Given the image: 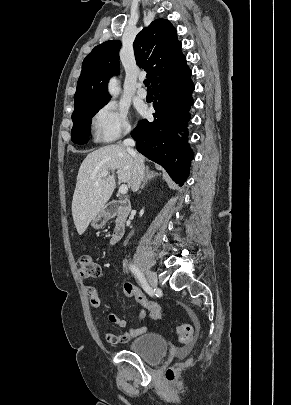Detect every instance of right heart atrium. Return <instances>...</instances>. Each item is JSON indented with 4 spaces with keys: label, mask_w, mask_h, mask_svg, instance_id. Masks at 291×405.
<instances>
[{
    "label": "right heart atrium",
    "mask_w": 291,
    "mask_h": 405,
    "mask_svg": "<svg viewBox=\"0 0 291 405\" xmlns=\"http://www.w3.org/2000/svg\"><path fill=\"white\" fill-rule=\"evenodd\" d=\"M92 129L96 142L117 140L131 130L128 109L117 102L104 104L92 117Z\"/></svg>",
    "instance_id": "d8ad5b80"
}]
</instances>
